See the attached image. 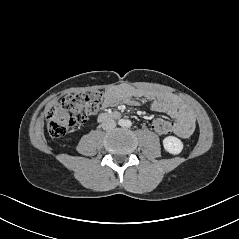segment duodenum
<instances>
[{
  "instance_id": "410a0bca",
  "label": "duodenum",
  "mask_w": 239,
  "mask_h": 239,
  "mask_svg": "<svg viewBox=\"0 0 239 239\" xmlns=\"http://www.w3.org/2000/svg\"><path fill=\"white\" fill-rule=\"evenodd\" d=\"M121 114L117 111L104 112L98 116V121L103 122L107 120L119 119Z\"/></svg>"
}]
</instances>
